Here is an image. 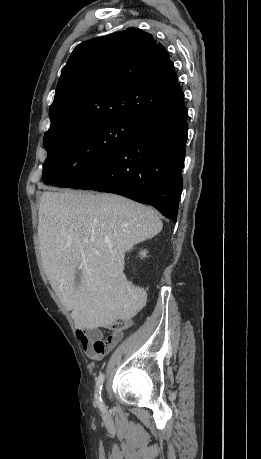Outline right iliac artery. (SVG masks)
<instances>
[{
	"label": "right iliac artery",
	"mask_w": 261,
	"mask_h": 459,
	"mask_svg": "<svg viewBox=\"0 0 261 459\" xmlns=\"http://www.w3.org/2000/svg\"><path fill=\"white\" fill-rule=\"evenodd\" d=\"M103 381H104V374L101 373L97 379L96 393H95V399H96L97 405L101 410H104V404L101 398V390H102Z\"/></svg>",
	"instance_id": "right-iliac-artery-1"
}]
</instances>
